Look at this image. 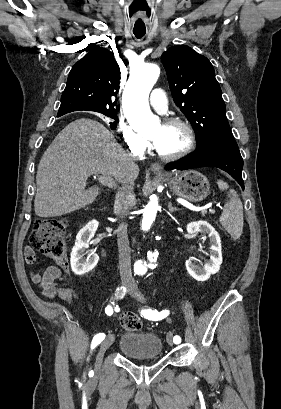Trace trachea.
I'll return each mask as SVG.
<instances>
[{
	"instance_id": "trachea-1",
	"label": "trachea",
	"mask_w": 281,
	"mask_h": 409,
	"mask_svg": "<svg viewBox=\"0 0 281 409\" xmlns=\"http://www.w3.org/2000/svg\"><path fill=\"white\" fill-rule=\"evenodd\" d=\"M133 33H134L135 37L138 38V39L144 37V35H145V32H140V33L133 32Z\"/></svg>"
}]
</instances>
